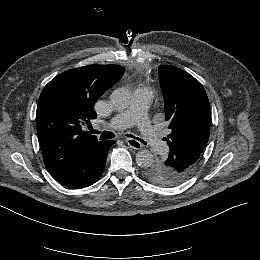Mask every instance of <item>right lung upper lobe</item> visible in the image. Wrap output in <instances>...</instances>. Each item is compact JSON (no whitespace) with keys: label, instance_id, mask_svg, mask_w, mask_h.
<instances>
[{"label":"right lung upper lobe","instance_id":"1","mask_svg":"<svg viewBox=\"0 0 260 260\" xmlns=\"http://www.w3.org/2000/svg\"><path fill=\"white\" fill-rule=\"evenodd\" d=\"M124 71L119 65H89L65 71L44 87L37 106V133L44 164L53 177L103 149L107 141H97L81 125L96 118L94 103Z\"/></svg>","mask_w":260,"mask_h":260}]
</instances>
